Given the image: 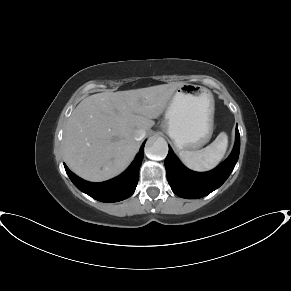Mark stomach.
Here are the masks:
<instances>
[{
    "label": "stomach",
    "mask_w": 291,
    "mask_h": 291,
    "mask_svg": "<svg viewBox=\"0 0 291 291\" xmlns=\"http://www.w3.org/2000/svg\"><path fill=\"white\" fill-rule=\"evenodd\" d=\"M214 111V97L210 90L184 83L170 98L162 128L178 150L194 151L211 139Z\"/></svg>",
    "instance_id": "1"
}]
</instances>
